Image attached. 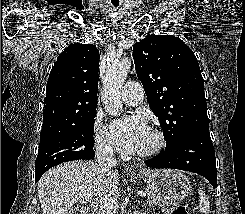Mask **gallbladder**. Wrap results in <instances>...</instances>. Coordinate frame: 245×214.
I'll return each mask as SVG.
<instances>
[{
	"instance_id": "bac80fb5",
	"label": "gallbladder",
	"mask_w": 245,
	"mask_h": 214,
	"mask_svg": "<svg viewBox=\"0 0 245 214\" xmlns=\"http://www.w3.org/2000/svg\"><path fill=\"white\" fill-rule=\"evenodd\" d=\"M79 210L78 206H74L71 209L67 211V214H76V212Z\"/></svg>"
}]
</instances>
